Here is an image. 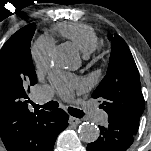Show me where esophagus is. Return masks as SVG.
<instances>
[{"mask_svg": "<svg viewBox=\"0 0 151 151\" xmlns=\"http://www.w3.org/2000/svg\"><path fill=\"white\" fill-rule=\"evenodd\" d=\"M68 122H69V124H71V125H77V124H79L81 121H80V119H78V118H75V117L70 116Z\"/></svg>", "mask_w": 151, "mask_h": 151, "instance_id": "obj_1", "label": "esophagus"}]
</instances>
